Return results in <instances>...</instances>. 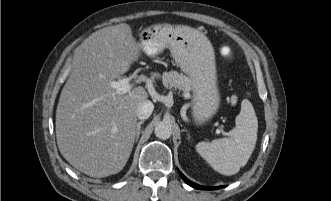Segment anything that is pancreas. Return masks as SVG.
I'll return each instance as SVG.
<instances>
[{
  "label": "pancreas",
  "mask_w": 331,
  "mask_h": 201,
  "mask_svg": "<svg viewBox=\"0 0 331 201\" xmlns=\"http://www.w3.org/2000/svg\"><path fill=\"white\" fill-rule=\"evenodd\" d=\"M162 81L166 88H178L183 91L184 95L189 94V91L191 90V82L189 78L176 71L163 73Z\"/></svg>",
  "instance_id": "1"
}]
</instances>
